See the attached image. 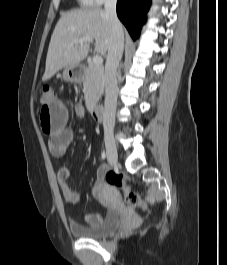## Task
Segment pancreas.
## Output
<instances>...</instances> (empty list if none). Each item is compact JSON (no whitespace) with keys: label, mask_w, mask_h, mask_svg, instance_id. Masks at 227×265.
Returning a JSON list of instances; mask_svg holds the SVG:
<instances>
[{"label":"pancreas","mask_w":227,"mask_h":265,"mask_svg":"<svg viewBox=\"0 0 227 265\" xmlns=\"http://www.w3.org/2000/svg\"><path fill=\"white\" fill-rule=\"evenodd\" d=\"M85 101L94 106L104 91V70L90 63L83 79Z\"/></svg>","instance_id":"cf45deb5"}]
</instances>
